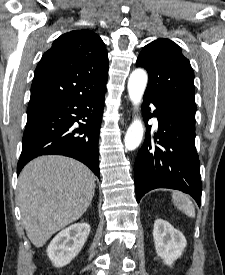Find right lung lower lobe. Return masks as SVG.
Listing matches in <instances>:
<instances>
[{
    "instance_id": "1",
    "label": "right lung lower lobe",
    "mask_w": 225,
    "mask_h": 275,
    "mask_svg": "<svg viewBox=\"0 0 225 275\" xmlns=\"http://www.w3.org/2000/svg\"><path fill=\"white\" fill-rule=\"evenodd\" d=\"M106 83L107 80L98 92L88 96L61 99L27 109L18 174L33 158L57 154L81 161L100 178L98 138ZM75 122L79 123L78 127Z\"/></svg>"
}]
</instances>
